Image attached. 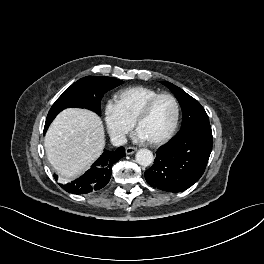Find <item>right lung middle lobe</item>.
<instances>
[{
	"label": "right lung middle lobe",
	"mask_w": 264,
	"mask_h": 264,
	"mask_svg": "<svg viewBox=\"0 0 264 264\" xmlns=\"http://www.w3.org/2000/svg\"><path fill=\"white\" fill-rule=\"evenodd\" d=\"M123 81L111 77L87 76L71 85L52 105L46 118L48 128L56 115L65 108L79 107L90 109L100 115L103 95Z\"/></svg>",
	"instance_id": "1"
}]
</instances>
